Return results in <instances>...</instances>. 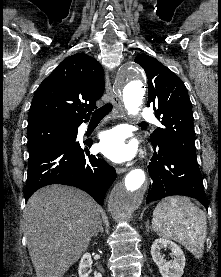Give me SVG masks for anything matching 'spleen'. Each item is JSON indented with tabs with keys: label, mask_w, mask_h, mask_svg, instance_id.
I'll use <instances>...</instances> for the list:
<instances>
[{
	"label": "spleen",
	"mask_w": 221,
	"mask_h": 277,
	"mask_svg": "<svg viewBox=\"0 0 221 277\" xmlns=\"http://www.w3.org/2000/svg\"><path fill=\"white\" fill-rule=\"evenodd\" d=\"M152 226L161 237L183 245L196 258H201L207 234L205 213L185 196L161 200L153 211Z\"/></svg>",
	"instance_id": "1"
}]
</instances>
